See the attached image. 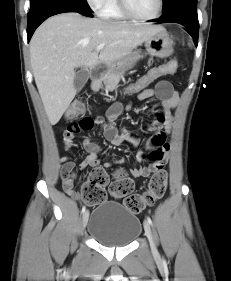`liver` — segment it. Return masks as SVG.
I'll use <instances>...</instances> for the list:
<instances>
[{
  "mask_svg": "<svg viewBox=\"0 0 231 281\" xmlns=\"http://www.w3.org/2000/svg\"><path fill=\"white\" fill-rule=\"evenodd\" d=\"M161 26H135L63 13L47 19L30 42L31 67L46 115L58 123L76 95L75 68L111 65L156 33ZM100 44L105 47L96 51Z\"/></svg>",
  "mask_w": 231,
  "mask_h": 281,
  "instance_id": "6515ba94",
  "label": "liver"
}]
</instances>
